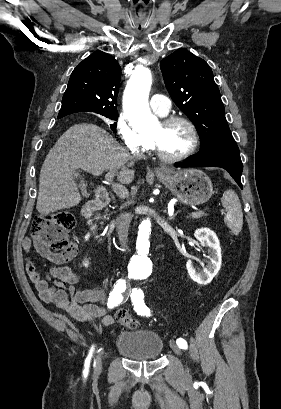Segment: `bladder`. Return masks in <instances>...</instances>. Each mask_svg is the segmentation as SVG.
I'll list each match as a JSON object with an SVG mask.
<instances>
[{"label": "bladder", "instance_id": "obj_1", "mask_svg": "<svg viewBox=\"0 0 281 409\" xmlns=\"http://www.w3.org/2000/svg\"><path fill=\"white\" fill-rule=\"evenodd\" d=\"M114 349L127 360L152 362L160 359L164 352V338L153 329H120Z\"/></svg>", "mask_w": 281, "mask_h": 409}]
</instances>
